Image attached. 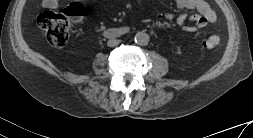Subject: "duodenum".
Returning <instances> with one entry per match:
<instances>
[{
    "mask_svg": "<svg viewBox=\"0 0 253 138\" xmlns=\"http://www.w3.org/2000/svg\"><path fill=\"white\" fill-rule=\"evenodd\" d=\"M126 27L110 28L104 31V35L111 38H116L127 33Z\"/></svg>",
    "mask_w": 253,
    "mask_h": 138,
    "instance_id": "obj_1",
    "label": "duodenum"
}]
</instances>
